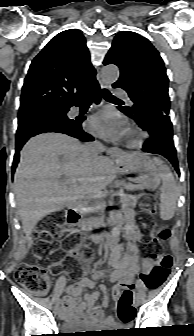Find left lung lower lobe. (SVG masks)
<instances>
[{"label": "left lung lower lobe", "instance_id": "obj_1", "mask_svg": "<svg viewBox=\"0 0 194 336\" xmlns=\"http://www.w3.org/2000/svg\"><path fill=\"white\" fill-rule=\"evenodd\" d=\"M140 127L148 131L150 139L143 144V151L167 158L179 173L176 149L173 142V128L169 115L144 122Z\"/></svg>", "mask_w": 194, "mask_h": 336}]
</instances>
